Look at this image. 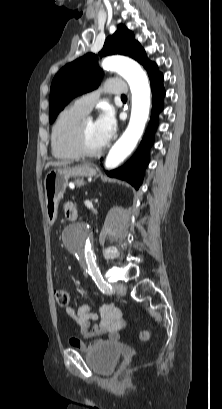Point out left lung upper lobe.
Returning <instances> with one entry per match:
<instances>
[{
  "mask_svg": "<svg viewBox=\"0 0 222 409\" xmlns=\"http://www.w3.org/2000/svg\"><path fill=\"white\" fill-rule=\"evenodd\" d=\"M112 54L127 55L144 66L149 77L158 73L155 63L148 60L142 46L125 25H118L113 36H109L99 52L100 57ZM102 75L97 64V56L88 53L65 65L54 77L50 89L49 121L74 97L98 87Z\"/></svg>",
  "mask_w": 222,
  "mask_h": 409,
  "instance_id": "obj_1",
  "label": "left lung upper lobe"
}]
</instances>
